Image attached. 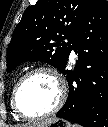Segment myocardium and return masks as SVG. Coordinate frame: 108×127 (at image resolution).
Here are the masks:
<instances>
[{"instance_id": "myocardium-1", "label": "myocardium", "mask_w": 108, "mask_h": 127, "mask_svg": "<svg viewBox=\"0 0 108 127\" xmlns=\"http://www.w3.org/2000/svg\"><path fill=\"white\" fill-rule=\"evenodd\" d=\"M38 73H46V74L50 75L56 81L57 86H58V99H57L56 104L49 111H47L43 114H40V115H28L21 110L19 103H18V97H19L20 90H21L23 84L25 83V81L29 77H31L35 74H38ZM66 98H67V86H66V82L64 81L62 76L52 68L37 67V68L31 69L30 71L26 72L18 80L17 84L14 87L13 94H12V107L15 110L16 114L18 116H20L21 118H24L27 120L41 119V118L51 116V115L55 114L56 112H58L61 109V107L63 106V104L65 103Z\"/></svg>"}]
</instances>
